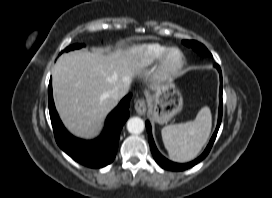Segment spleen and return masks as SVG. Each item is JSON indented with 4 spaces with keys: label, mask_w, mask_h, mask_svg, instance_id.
Listing matches in <instances>:
<instances>
[{
    "label": "spleen",
    "mask_w": 272,
    "mask_h": 198,
    "mask_svg": "<svg viewBox=\"0 0 272 198\" xmlns=\"http://www.w3.org/2000/svg\"><path fill=\"white\" fill-rule=\"evenodd\" d=\"M211 126V111L205 106L193 121L163 127L162 140L171 160L188 162L194 159L206 144Z\"/></svg>",
    "instance_id": "spleen-1"
}]
</instances>
